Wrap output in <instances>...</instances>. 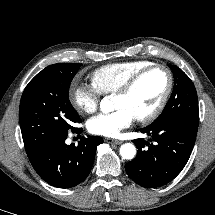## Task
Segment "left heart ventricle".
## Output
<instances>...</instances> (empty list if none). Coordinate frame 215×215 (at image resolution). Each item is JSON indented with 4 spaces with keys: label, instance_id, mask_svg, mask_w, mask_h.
<instances>
[{
    "label": "left heart ventricle",
    "instance_id": "left-heart-ventricle-1",
    "mask_svg": "<svg viewBox=\"0 0 215 215\" xmlns=\"http://www.w3.org/2000/svg\"><path fill=\"white\" fill-rule=\"evenodd\" d=\"M167 83L166 73L162 70H154L143 77L130 94L116 95L115 109L126 108L135 118L146 115L159 103Z\"/></svg>",
    "mask_w": 215,
    "mask_h": 215
}]
</instances>
